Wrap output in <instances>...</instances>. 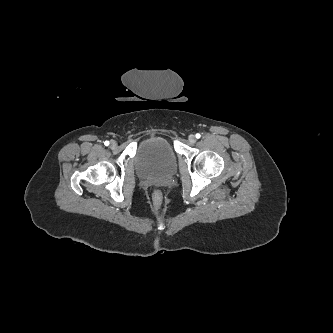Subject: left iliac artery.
I'll return each instance as SVG.
<instances>
[{"label":"left iliac artery","mask_w":333,"mask_h":333,"mask_svg":"<svg viewBox=\"0 0 333 333\" xmlns=\"http://www.w3.org/2000/svg\"><path fill=\"white\" fill-rule=\"evenodd\" d=\"M195 136L197 139H199L201 137V135L199 133H197Z\"/></svg>","instance_id":"left-iliac-artery-1"}]
</instances>
